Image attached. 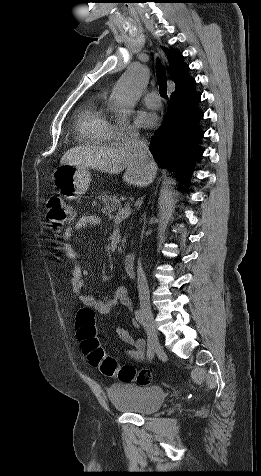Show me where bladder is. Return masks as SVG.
Listing matches in <instances>:
<instances>
[{"label": "bladder", "mask_w": 261, "mask_h": 476, "mask_svg": "<svg viewBox=\"0 0 261 476\" xmlns=\"http://www.w3.org/2000/svg\"><path fill=\"white\" fill-rule=\"evenodd\" d=\"M108 397L112 405L119 411L148 415L162 407L166 394L160 386L122 382L111 385Z\"/></svg>", "instance_id": "obj_1"}]
</instances>
